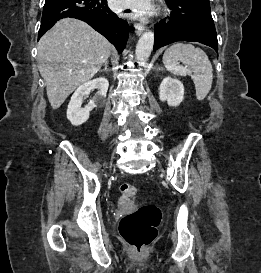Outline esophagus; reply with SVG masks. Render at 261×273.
<instances>
[{
	"mask_svg": "<svg viewBox=\"0 0 261 273\" xmlns=\"http://www.w3.org/2000/svg\"><path fill=\"white\" fill-rule=\"evenodd\" d=\"M134 27H135V32H136L137 35H140L145 30L144 25L135 24Z\"/></svg>",
	"mask_w": 261,
	"mask_h": 273,
	"instance_id": "1",
	"label": "esophagus"
}]
</instances>
